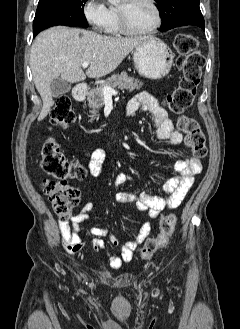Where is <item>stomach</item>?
<instances>
[{"instance_id":"stomach-1","label":"stomach","mask_w":240,"mask_h":329,"mask_svg":"<svg viewBox=\"0 0 240 329\" xmlns=\"http://www.w3.org/2000/svg\"><path fill=\"white\" fill-rule=\"evenodd\" d=\"M132 53L136 70L149 79L166 76L173 64L174 54L171 49L155 37L144 38Z\"/></svg>"}]
</instances>
